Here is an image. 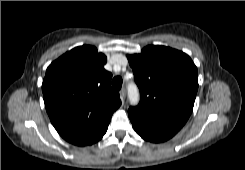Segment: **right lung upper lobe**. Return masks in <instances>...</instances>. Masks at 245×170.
I'll return each instance as SVG.
<instances>
[{"mask_svg":"<svg viewBox=\"0 0 245 170\" xmlns=\"http://www.w3.org/2000/svg\"><path fill=\"white\" fill-rule=\"evenodd\" d=\"M107 57L93 46L76 47L47 68L42 84L49 118L68 142L85 146L106 133L119 94L111 88Z\"/></svg>","mask_w":245,"mask_h":170,"instance_id":"cb5924a9","label":"right lung upper lobe"}]
</instances>
